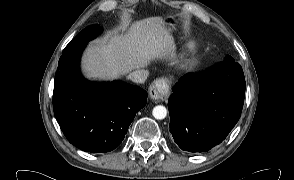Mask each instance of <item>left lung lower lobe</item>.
Returning <instances> with one entry per match:
<instances>
[{
    "mask_svg": "<svg viewBox=\"0 0 294 180\" xmlns=\"http://www.w3.org/2000/svg\"><path fill=\"white\" fill-rule=\"evenodd\" d=\"M245 86L243 70L231 56L180 78L168 103L174 142L189 152H205L221 143L240 118Z\"/></svg>",
    "mask_w": 294,
    "mask_h": 180,
    "instance_id": "0a47b994",
    "label": "left lung lower lobe"
}]
</instances>
